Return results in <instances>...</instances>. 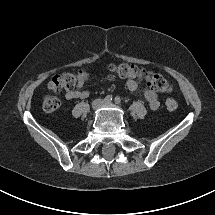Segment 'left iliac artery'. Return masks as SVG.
I'll list each match as a JSON object with an SVG mask.
<instances>
[{"mask_svg":"<svg viewBox=\"0 0 215 215\" xmlns=\"http://www.w3.org/2000/svg\"><path fill=\"white\" fill-rule=\"evenodd\" d=\"M120 102H121L120 97H118V96H117V97H115V103H116V104H120Z\"/></svg>","mask_w":215,"mask_h":215,"instance_id":"1","label":"left iliac artery"}]
</instances>
